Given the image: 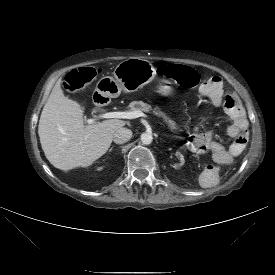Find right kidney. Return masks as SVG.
<instances>
[{
    "mask_svg": "<svg viewBox=\"0 0 275 275\" xmlns=\"http://www.w3.org/2000/svg\"><path fill=\"white\" fill-rule=\"evenodd\" d=\"M102 169V167H98V170H101Z\"/></svg>",
    "mask_w": 275,
    "mask_h": 275,
    "instance_id": "obj_1",
    "label": "right kidney"
}]
</instances>
